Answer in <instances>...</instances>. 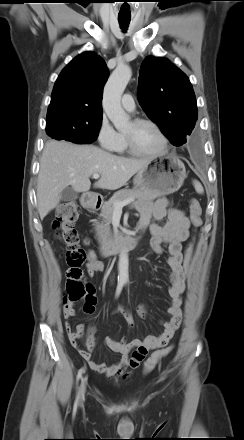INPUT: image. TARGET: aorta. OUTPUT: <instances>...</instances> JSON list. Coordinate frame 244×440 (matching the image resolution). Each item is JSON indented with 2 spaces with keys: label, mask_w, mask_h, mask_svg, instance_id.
Returning <instances> with one entry per match:
<instances>
[{
  "label": "aorta",
  "mask_w": 244,
  "mask_h": 440,
  "mask_svg": "<svg viewBox=\"0 0 244 440\" xmlns=\"http://www.w3.org/2000/svg\"><path fill=\"white\" fill-rule=\"evenodd\" d=\"M132 76L131 68L127 65L117 66L109 77L103 93V108L117 130L124 129L129 117L121 106L122 94ZM128 251L122 250L118 261V279L127 282L129 277Z\"/></svg>",
  "instance_id": "1"
}]
</instances>
